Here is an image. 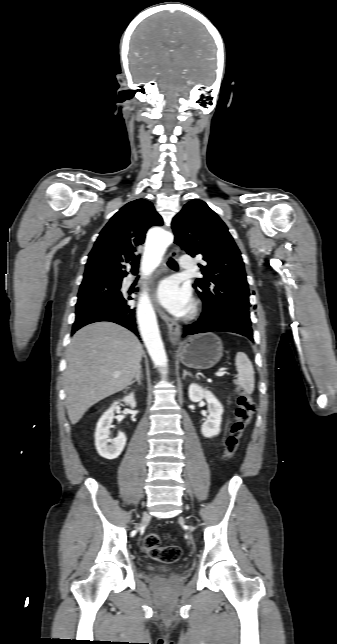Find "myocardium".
I'll return each instance as SVG.
<instances>
[{
  "mask_svg": "<svg viewBox=\"0 0 337 644\" xmlns=\"http://www.w3.org/2000/svg\"><path fill=\"white\" fill-rule=\"evenodd\" d=\"M196 309H197V307L195 306V307H194V311H195Z\"/></svg>",
  "mask_w": 337,
  "mask_h": 644,
  "instance_id": "myocardium-1",
  "label": "myocardium"
}]
</instances>
